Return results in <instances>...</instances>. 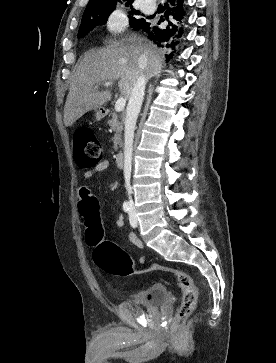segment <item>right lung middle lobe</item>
Masks as SVG:
<instances>
[{
	"label": "right lung middle lobe",
	"instance_id": "1",
	"mask_svg": "<svg viewBox=\"0 0 276 363\" xmlns=\"http://www.w3.org/2000/svg\"><path fill=\"white\" fill-rule=\"evenodd\" d=\"M116 4L117 1L86 7L82 17V23L80 25L78 37L85 36L98 25L106 24L109 15L115 10ZM130 4V2H127L126 6H129ZM131 15L130 24L135 29L139 28L141 24L145 22V19L141 17L142 15L138 11L132 9Z\"/></svg>",
	"mask_w": 276,
	"mask_h": 363
}]
</instances>
